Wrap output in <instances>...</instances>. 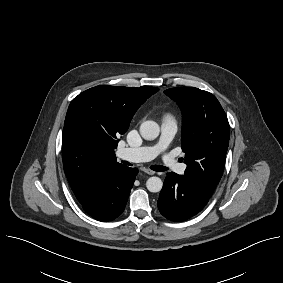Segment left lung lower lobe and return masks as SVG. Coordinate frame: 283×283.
<instances>
[{"label": "left lung lower lobe", "instance_id": "obj_1", "mask_svg": "<svg viewBox=\"0 0 283 283\" xmlns=\"http://www.w3.org/2000/svg\"><path fill=\"white\" fill-rule=\"evenodd\" d=\"M210 197L185 175L170 172L164 181L157 205L164 217L180 222L198 214Z\"/></svg>", "mask_w": 283, "mask_h": 283}]
</instances>
